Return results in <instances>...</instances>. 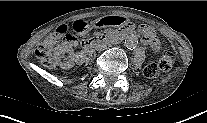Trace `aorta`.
I'll return each mask as SVG.
<instances>
[{"label": "aorta", "mask_w": 207, "mask_h": 123, "mask_svg": "<svg viewBox=\"0 0 207 123\" xmlns=\"http://www.w3.org/2000/svg\"><path fill=\"white\" fill-rule=\"evenodd\" d=\"M138 43L137 37L135 35H128L125 38V46L127 48H134Z\"/></svg>", "instance_id": "1"}]
</instances>
